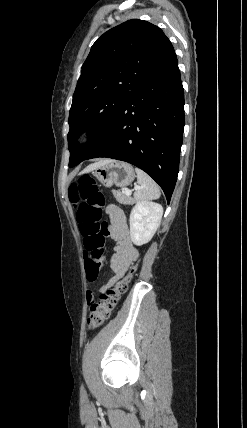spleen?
Segmentation results:
<instances>
[{"mask_svg":"<svg viewBox=\"0 0 247 428\" xmlns=\"http://www.w3.org/2000/svg\"><path fill=\"white\" fill-rule=\"evenodd\" d=\"M140 188L134 193L137 201L154 200L160 197V189L156 182L143 170L135 168Z\"/></svg>","mask_w":247,"mask_h":428,"instance_id":"obj_1","label":"spleen"}]
</instances>
